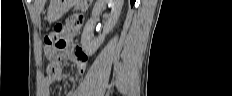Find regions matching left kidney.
Here are the masks:
<instances>
[{
    "mask_svg": "<svg viewBox=\"0 0 232 96\" xmlns=\"http://www.w3.org/2000/svg\"><path fill=\"white\" fill-rule=\"evenodd\" d=\"M123 2V0H97L92 10V17L86 22L81 36L82 49L87 55L94 54L103 43L105 36L113 29L121 13ZM106 4L110 5L112 10L110 14L104 16L106 23L103 33L95 38L93 34L94 20L100 15Z\"/></svg>",
    "mask_w": 232,
    "mask_h": 96,
    "instance_id": "5707ae66",
    "label": "left kidney"
}]
</instances>
